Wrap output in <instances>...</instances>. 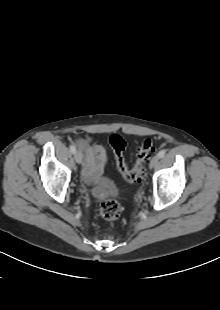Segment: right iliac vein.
<instances>
[{
	"label": "right iliac vein",
	"mask_w": 220,
	"mask_h": 310,
	"mask_svg": "<svg viewBox=\"0 0 220 310\" xmlns=\"http://www.w3.org/2000/svg\"><path fill=\"white\" fill-rule=\"evenodd\" d=\"M74 158H75V161L78 163V164H81L83 162V155L80 151H76L75 154H74Z\"/></svg>",
	"instance_id": "obj_1"
}]
</instances>
